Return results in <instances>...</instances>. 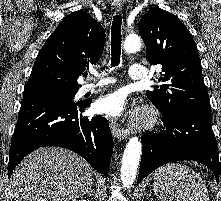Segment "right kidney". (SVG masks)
<instances>
[{
    "label": "right kidney",
    "mask_w": 221,
    "mask_h": 201,
    "mask_svg": "<svg viewBox=\"0 0 221 201\" xmlns=\"http://www.w3.org/2000/svg\"><path fill=\"white\" fill-rule=\"evenodd\" d=\"M79 201H86V200H84V199H81V200H79Z\"/></svg>",
    "instance_id": "right-kidney-1"
}]
</instances>
